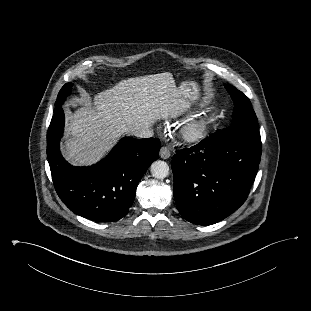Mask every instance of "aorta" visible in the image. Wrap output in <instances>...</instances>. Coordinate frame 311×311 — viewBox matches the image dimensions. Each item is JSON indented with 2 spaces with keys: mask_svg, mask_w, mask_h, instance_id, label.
Segmentation results:
<instances>
[{
  "mask_svg": "<svg viewBox=\"0 0 311 311\" xmlns=\"http://www.w3.org/2000/svg\"><path fill=\"white\" fill-rule=\"evenodd\" d=\"M151 173L157 179H164L169 174V166L165 161L157 160L151 165Z\"/></svg>",
  "mask_w": 311,
  "mask_h": 311,
  "instance_id": "1",
  "label": "aorta"
}]
</instances>
